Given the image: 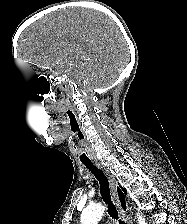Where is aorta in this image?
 Here are the masks:
<instances>
[{"label":"aorta","mask_w":187,"mask_h":224,"mask_svg":"<svg viewBox=\"0 0 187 224\" xmlns=\"http://www.w3.org/2000/svg\"><path fill=\"white\" fill-rule=\"evenodd\" d=\"M105 211V206L101 204L93 205L85 208L80 217L81 224H97ZM138 224H146L142 214L137 213Z\"/></svg>","instance_id":"1"}]
</instances>
